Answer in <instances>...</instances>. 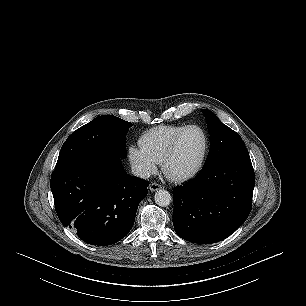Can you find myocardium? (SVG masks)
Returning a JSON list of instances; mask_svg holds the SVG:
<instances>
[{"instance_id":"myocardium-1","label":"myocardium","mask_w":306,"mask_h":306,"mask_svg":"<svg viewBox=\"0 0 306 306\" xmlns=\"http://www.w3.org/2000/svg\"><path fill=\"white\" fill-rule=\"evenodd\" d=\"M193 128H196V129L200 130L201 133L204 136V150H203L202 156H201L198 164L196 165V167L192 171H190L188 173H185V174L172 175V174H170V172L168 170L169 164L174 159V157L176 156L177 151H178V147H179V144H180V141L183 138L184 134L188 130L193 129ZM209 148H210V140H209V136H208L206 130L202 126H200L198 124H189V125H186L177 134V136L174 138V140H173V142H172L168 152L166 153V155L164 156V158H163V160L161 162V167H162V171H163L164 175L169 180L174 181V182H184V181H188V180L193 179L203 169L204 164H205L206 159H207V156H208V153H209Z\"/></svg>"}]
</instances>
